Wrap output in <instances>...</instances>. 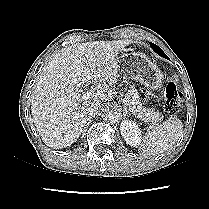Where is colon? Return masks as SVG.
<instances>
[{
	"mask_svg": "<svg viewBox=\"0 0 209 209\" xmlns=\"http://www.w3.org/2000/svg\"><path fill=\"white\" fill-rule=\"evenodd\" d=\"M182 104V93L174 82H169L164 90V110L167 114L176 113Z\"/></svg>",
	"mask_w": 209,
	"mask_h": 209,
	"instance_id": "1",
	"label": "colon"
}]
</instances>
